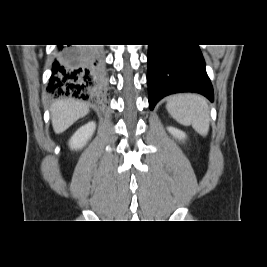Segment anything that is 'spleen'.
<instances>
[{
	"label": "spleen",
	"instance_id": "spleen-1",
	"mask_svg": "<svg viewBox=\"0 0 267 267\" xmlns=\"http://www.w3.org/2000/svg\"><path fill=\"white\" fill-rule=\"evenodd\" d=\"M166 108L180 124L192 127L202 136L209 131V107L204 97L196 94L173 95L167 99Z\"/></svg>",
	"mask_w": 267,
	"mask_h": 267
}]
</instances>
